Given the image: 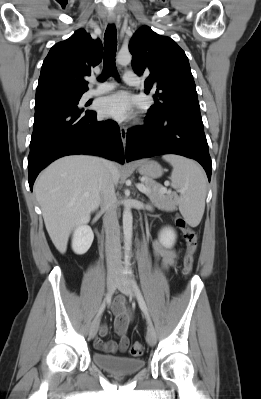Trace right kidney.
Returning <instances> with one entry per match:
<instances>
[{
	"instance_id": "obj_1",
	"label": "right kidney",
	"mask_w": 261,
	"mask_h": 399,
	"mask_svg": "<svg viewBox=\"0 0 261 399\" xmlns=\"http://www.w3.org/2000/svg\"><path fill=\"white\" fill-rule=\"evenodd\" d=\"M89 220V215L81 218L73 232L72 249L78 255L85 254L91 247L94 239L93 231L91 227L87 225Z\"/></svg>"
}]
</instances>
